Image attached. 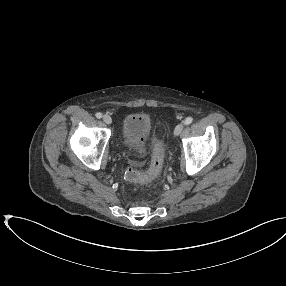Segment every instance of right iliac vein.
<instances>
[{
    "mask_svg": "<svg viewBox=\"0 0 286 286\" xmlns=\"http://www.w3.org/2000/svg\"><path fill=\"white\" fill-rule=\"evenodd\" d=\"M103 121H104L106 124L110 125V124L112 123V118H111L110 115L105 114V115L103 116Z\"/></svg>",
    "mask_w": 286,
    "mask_h": 286,
    "instance_id": "right-iliac-vein-1",
    "label": "right iliac vein"
}]
</instances>
